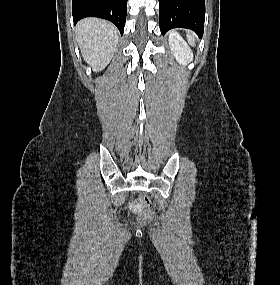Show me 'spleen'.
<instances>
[{
  "mask_svg": "<svg viewBox=\"0 0 280 285\" xmlns=\"http://www.w3.org/2000/svg\"><path fill=\"white\" fill-rule=\"evenodd\" d=\"M188 39H189L190 43H193L194 39H195V35L192 33H188Z\"/></svg>",
  "mask_w": 280,
  "mask_h": 285,
  "instance_id": "spleen-1",
  "label": "spleen"
}]
</instances>
